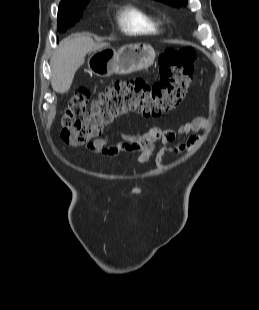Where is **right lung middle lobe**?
Returning a JSON list of instances; mask_svg holds the SVG:
<instances>
[{
  "label": "right lung middle lobe",
  "instance_id": "1",
  "mask_svg": "<svg viewBox=\"0 0 259 310\" xmlns=\"http://www.w3.org/2000/svg\"><path fill=\"white\" fill-rule=\"evenodd\" d=\"M89 0L80 2L72 8L58 9V31L65 32L83 15V10Z\"/></svg>",
  "mask_w": 259,
  "mask_h": 310
}]
</instances>
